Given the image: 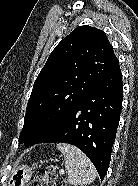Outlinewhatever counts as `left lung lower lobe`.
I'll use <instances>...</instances> for the list:
<instances>
[{"label": "left lung lower lobe", "mask_w": 138, "mask_h": 186, "mask_svg": "<svg viewBox=\"0 0 138 186\" xmlns=\"http://www.w3.org/2000/svg\"><path fill=\"white\" fill-rule=\"evenodd\" d=\"M122 93L118 62L53 132L35 144L61 142L78 147L104 179L119 124Z\"/></svg>", "instance_id": "1"}]
</instances>
